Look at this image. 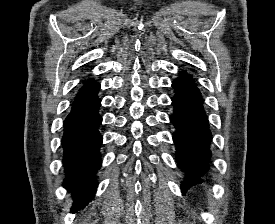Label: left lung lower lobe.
I'll return each mask as SVG.
<instances>
[{"label":"left lung lower lobe","mask_w":275,"mask_h":224,"mask_svg":"<svg viewBox=\"0 0 275 224\" xmlns=\"http://www.w3.org/2000/svg\"><path fill=\"white\" fill-rule=\"evenodd\" d=\"M172 87L175 89L172 98L174 113L170 121L176 129L173 136L176 161L186 174L181 185L184 193L190 186L202 182V177L209 170L212 134L200 90L192 78L181 72L179 78L172 82Z\"/></svg>","instance_id":"obj_1"}]
</instances>
